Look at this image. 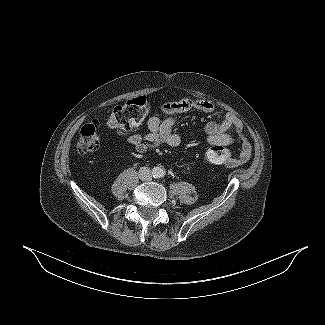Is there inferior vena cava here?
Listing matches in <instances>:
<instances>
[{"label": "inferior vena cava", "instance_id": "1", "mask_svg": "<svg viewBox=\"0 0 325 325\" xmlns=\"http://www.w3.org/2000/svg\"><path fill=\"white\" fill-rule=\"evenodd\" d=\"M139 178L142 181H150L152 179L151 170L148 167H141L139 170Z\"/></svg>", "mask_w": 325, "mask_h": 325}]
</instances>
